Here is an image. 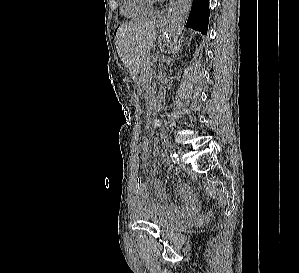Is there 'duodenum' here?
Here are the masks:
<instances>
[{
    "instance_id": "1",
    "label": "duodenum",
    "mask_w": 299,
    "mask_h": 273,
    "mask_svg": "<svg viewBox=\"0 0 299 273\" xmlns=\"http://www.w3.org/2000/svg\"><path fill=\"white\" fill-rule=\"evenodd\" d=\"M160 105H161V103H158V104L154 105V106L152 107V109L155 110V109L159 108Z\"/></svg>"
}]
</instances>
